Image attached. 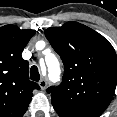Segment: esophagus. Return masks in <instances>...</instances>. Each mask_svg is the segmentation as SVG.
Masks as SVG:
<instances>
[{"instance_id": "esophagus-1", "label": "esophagus", "mask_w": 117, "mask_h": 117, "mask_svg": "<svg viewBox=\"0 0 117 117\" xmlns=\"http://www.w3.org/2000/svg\"><path fill=\"white\" fill-rule=\"evenodd\" d=\"M39 86L41 88V90H45L46 86H47V80L42 78L40 81H39Z\"/></svg>"}]
</instances>
